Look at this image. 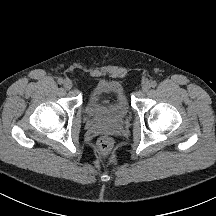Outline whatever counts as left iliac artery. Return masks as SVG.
Here are the masks:
<instances>
[{"instance_id":"44dca946","label":"left iliac artery","mask_w":216,"mask_h":216,"mask_svg":"<svg viewBox=\"0 0 216 216\" xmlns=\"http://www.w3.org/2000/svg\"><path fill=\"white\" fill-rule=\"evenodd\" d=\"M150 86L153 87V88L156 87V86H157V82H156V81H152V82L150 83Z\"/></svg>"}]
</instances>
